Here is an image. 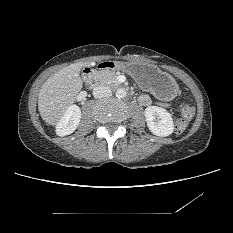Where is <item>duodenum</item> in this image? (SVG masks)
Returning a JSON list of instances; mask_svg holds the SVG:
<instances>
[{"instance_id": "obj_1", "label": "duodenum", "mask_w": 233, "mask_h": 233, "mask_svg": "<svg viewBox=\"0 0 233 233\" xmlns=\"http://www.w3.org/2000/svg\"><path fill=\"white\" fill-rule=\"evenodd\" d=\"M117 67L118 63L116 61L100 62L94 67L87 68L82 74V79L87 85H91L93 82V75L96 71L101 69H116Z\"/></svg>"}]
</instances>
